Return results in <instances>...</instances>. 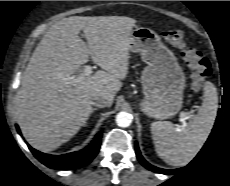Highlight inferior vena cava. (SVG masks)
<instances>
[{
    "instance_id": "602c4592",
    "label": "inferior vena cava",
    "mask_w": 230,
    "mask_h": 186,
    "mask_svg": "<svg viewBox=\"0 0 230 186\" xmlns=\"http://www.w3.org/2000/svg\"><path fill=\"white\" fill-rule=\"evenodd\" d=\"M91 104L96 107L104 108L110 105V101L107 96L99 94L92 98Z\"/></svg>"
}]
</instances>
